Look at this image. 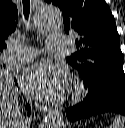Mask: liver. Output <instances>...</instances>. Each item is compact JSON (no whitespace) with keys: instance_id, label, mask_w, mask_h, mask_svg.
Returning a JSON list of instances; mask_svg holds the SVG:
<instances>
[{"instance_id":"obj_1","label":"liver","mask_w":125,"mask_h":128,"mask_svg":"<svg viewBox=\"0 0 125 128\" xmlns=\"http://www.w3.org/2000/svg\"><path fill=\"white\" fill-rule=\"evenodd\" d=\"M23 121L13 78L0 69V128H23Z\"/></svg>"}]
</instances>
